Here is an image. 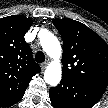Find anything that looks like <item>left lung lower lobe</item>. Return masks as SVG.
Instances as JSON below:
<instances>
[{"label": "left lung lower lobe", "instance_id": "0a47b994", "mask_svg": "<svg viewBox=\"0 0 108 108\" xmlns=\"http://www.w3.org/2000/svg\"><path fill=\"white\" fill-rule=\"evenodd\" d=\"M106 85L62 78L50 90V100L55 108H91L103 95Z\"/></svg>", "mask_w": 108, "mask_h": 108}]
</instances>
